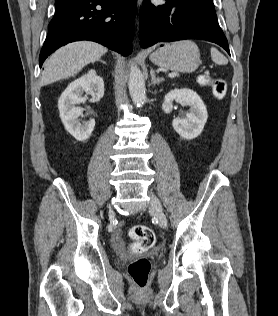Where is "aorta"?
Here are the masks:
<instances>
[{"label": "aorta", "instance_id": "1", "mask_svg": "<svg viewBox=\"0 0 278 316\" xmlns=\"http://www.w3.org/2000/svg\"><path fill=\"white\" fill-rule=\"evenodd\" d=\"M145 81L142 72L136 65H132L129 74V92L137 107H142L146 101Z\"/></svg>", "mask_w": 278, "mask_h": 316}]
</instances>
